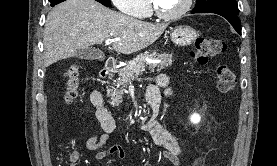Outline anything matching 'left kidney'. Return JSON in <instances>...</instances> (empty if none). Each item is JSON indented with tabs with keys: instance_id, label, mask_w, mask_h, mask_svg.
Listing matches in <instances>:
<instances>
[{
	"instance_id": "obj_1",
	"label": "left kidney",
	"mask_w": 277,
	"mask_h": 166,
	"mask_svg": "<svg viewBox=\"0 0 277 166\" xmlns=\"http://www.w3.org/2000/svg\"><path fill=\"white\" fill-rule=\"evenodd\" d=\"M200 119H201V117H200L198 114H193V115L191 116V121H192V123H194V124L199 123V122H200Z\"/></svg>"
}]
</instances>
